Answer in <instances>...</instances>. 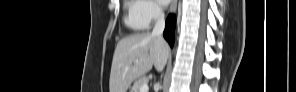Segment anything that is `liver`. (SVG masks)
Listing matches in <instances>:
<instances>
[{"mask_svg":"<svg viewBox=\"0 0 296 92\" xmlns=\"http://www.w3.org/2000/svg\"><path fill=\"white\" fill-rule=\"evenodd\" d=\"M169 45L162 36L137 33L122 38L114 51L109 92H127L131 83L154 65L161 72L167 62Z\"/></svg>","mask_w":296,"mask_h":92,"instance_id":"obj_1","label":"liver"}]
</instances>
